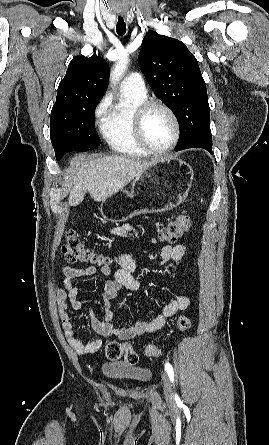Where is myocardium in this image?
<instances>
[{
	"instance_id": "myocardium-1",
	"label": "myocardium",
	"mask_w": 269,
	"mask_h": 445,
	"mask_svg": "<svg viewBox=\"0 0 269 445\" xmlns=\"http://www.w3.org/2000/svg\"><path fill=\"white\" fill-rule=\"evenodd\" d=\"M154 108L164 110L171 118L174 125V136L170 144L162 150L152 148L146 141L144 135V122L147 114ZM133 131L138 145L147 153L153 156H165L172 152L177 146L180 135L181 126L176 113L167 104L158 100H145L137 106L133 114Z\"/></svg>"
}]
</instances>
